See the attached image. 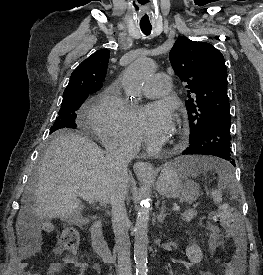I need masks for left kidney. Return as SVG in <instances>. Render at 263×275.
Listing matches in <instances>:
<instances>
[{
    "label": "left kidney",
    "instance_id": "obj_1",
    "mask_svg": "<svg viewBox=\"0 0 263 275\" xmlns=\"http://www.w3.org/2000/svg\"><path fill=\"white\" fill-rule=\"evenodd\" d=\"M186 255L190 260V263L184 264L187 268L191 267L194 264H198L203 259V254L200 247L197 244H191L186 248Z\"/></svg>",
    "mask_w": 263,
    "mask_h": 275
}]
</instances>
